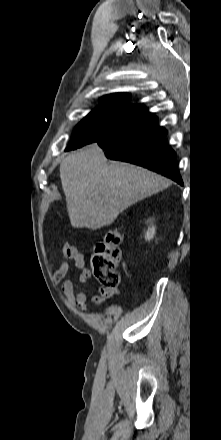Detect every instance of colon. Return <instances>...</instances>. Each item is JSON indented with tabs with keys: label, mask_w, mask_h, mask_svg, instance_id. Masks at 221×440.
I'll use <instances>...</instances> for the list:
<instances>
[{
	"label": "colon",
	"mask_w": 221,
	"mask_h": 440,
	"mask_svg": "<svg viewBox=\"0 0 221 440\" xmlns=\"http://www.w3.org/2000/svg\"><path fill=\"white\" fill-rule=\"evenodd\" d=\"M122 235L119 229L109 230L94 246L90 264L102 288L115 289L119 284L117 266L122 258Z\"/></svg>",
	"instance_id": "1"
}]
</instances>
